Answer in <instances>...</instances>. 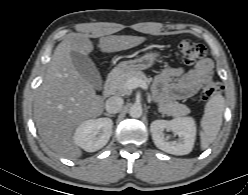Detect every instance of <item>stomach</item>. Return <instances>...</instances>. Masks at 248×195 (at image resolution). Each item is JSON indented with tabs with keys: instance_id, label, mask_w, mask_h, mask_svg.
<instances>
[{
	"instance_id": "1",
	"label": "stomach",
	"mask_w": 248,
	"mask_h": 195,
	"mask_svg": "<svg viewBox=\"0 0 248 195\" xmlns=\"http://www.w3.org/2000/svg\"><path fill=\"white\" fill-rule=\"evenodd\" d=\"M159 56V52L150 51L143 56L120 62L113 70L116 74H122L131 71H141L150 68Z\"/></svg>"
}]
</instances>
